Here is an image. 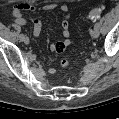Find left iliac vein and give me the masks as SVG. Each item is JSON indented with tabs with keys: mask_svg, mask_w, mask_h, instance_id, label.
Segmentation results:
<instances>
[{
	"mask_svg": "<svg viewBox=\"0 0 119 119\" xmlns=\"http://www.w3.org/2000/svg\"><path fill=\"white\" fill-rule=\"evenodd\" d=\"M91 36L93 38H97L99 36V28H94L92 31H91Z\"/></svg>",
	"mask_w": 119,
	"mask_h": 119,
	"instance_id": "4c4485c4",
	"label": "left iliac vein"
}]
</instances>
